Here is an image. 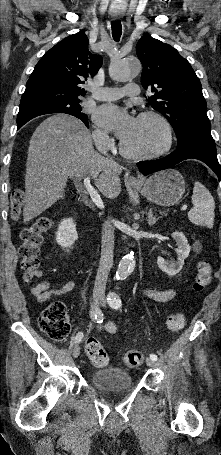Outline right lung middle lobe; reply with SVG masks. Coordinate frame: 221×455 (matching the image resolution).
I'll return each mask as SVG.
<instances>
[{"instance_id": "right-lung-middle-lobe-1", "label": "right lung middle lobe", "mask_w": 221, "mask_h": 455, "mask_svg": "<svg viewBox=\"0 0 221 455\" xmlns=\"http://www.w3.org/2000/svg\"><path fill=\"white\" fill-rule=\"evenodd\" d=\"M79 102L80 100L78 98H70L20 108L17 116V124L26 119L34 118L44 114L66 113L79 118L87 127H89L88 117L86 114L82 113V108L80 107Z\"/></svg>"}]
</instances>
